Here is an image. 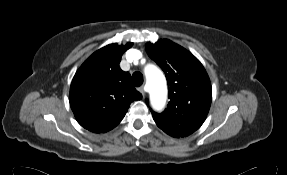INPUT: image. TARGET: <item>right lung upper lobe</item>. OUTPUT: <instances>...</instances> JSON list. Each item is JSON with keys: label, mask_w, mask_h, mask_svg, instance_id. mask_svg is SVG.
Returning a JSON list of instances; mask_svg holds the SVG:
<instances>
[{"label": "right lung upper lobe", "mask_w": 287, "mask_h": 175, "mask_svg": "<svg viewBox=\"0 0 287 175\" xmlns=\"http://www.w3.org/2000/svg\"><path fill=\"white\" fill-rule=\"evenodd\" d=\"M125 46L109 44L94 52L73 77L69 101L78 123L94 133H105L124 118L131 102L142 95L130 82V74L121 70Z\"/></svg>", "instance_id": "1"}]
</instances>
